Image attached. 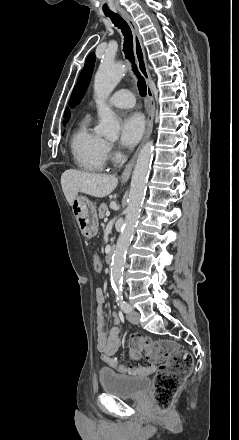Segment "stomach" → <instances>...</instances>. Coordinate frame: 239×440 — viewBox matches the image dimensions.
<instances>
[{
	"mask_svg": "<svg viewBox=\"0 0 239 440\" xmlns=\"http://www.w3.org/2000/svg\"><path fill=\"white\" fill-rule=\"evenodd\" d=\"M72 212L77 220V224L84 238H94L98 234V216L93 202L86 196H76Z\"/></svg>",
	"mask_w": 239,
	"mask_h": 440,
	"instance_id": "0dacf381",
	"label": "stomach"
}]
</instances>
